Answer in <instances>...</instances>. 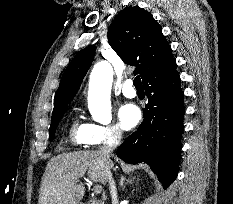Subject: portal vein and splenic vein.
<instances>
[{
	"instance_id": "obj_1",
	"label": "portal vein and splenic vein",
	"mask_w": 233,
	"mask_h": 204,
	"mask_svg": "<svg viewBox=\"0 0 233 204\" xmlns=\"http://www.w3.org/2000/svg\"><path fill=\"white\" fill-rule=\"evenodd\" d=\"M94 192L96 194H100L102 192V186L101 185H95L94 186Z\"/></svg>"
}]
</instances>
